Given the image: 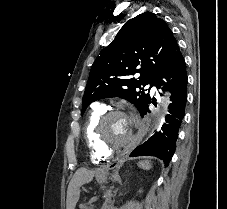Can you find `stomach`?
I'll return each instance as SVG.
<instances>
[{"label": "stomach", "instance_id": "stomach-1", "mask_svg": "<svg viewBox=\"0 0 227 209\" xmlns=\"http://www.w3.org/2000/svg\"><path fill=\"white\" fill-rule=\"evenodd\" d=\"M97 180H98L99 182H103V181L105 180V177L102 176V175H98V176H97Z\"/></svg>", "mask_w": 227, "mask_h": 209}]
</instances>
